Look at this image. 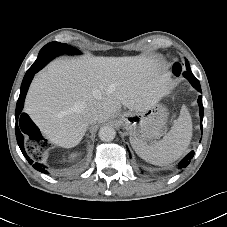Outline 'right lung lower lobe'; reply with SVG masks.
Wrapping results in <instances>:
<instances>
[{
  "label": "right lung lower lobe",
  "mask_w": 227,
  "mask_h": 227,
  "mask_svg": "<svg viewBox=\"0 0 227 227\" xmlns=\"http://www.w3.org/2000/svg\"><path fill=\"white\" fill-rule=\"evenodd\" d=\"M55 56H56V54L51 51H46L38 56L37 60L28 69V71L26 72V74L23 78L19 99H18L17 105H16V112H15L16 139H17L21 152L23 153V155L25 156V158L28 160V162L30 164H33V161L27 156V154L24 150V146H23L24 134L33 135L34 132H38V133H40V132H39V129L35 126V124L30 120L28 115L25 113H22V108H23L26 93H27L29 85L34 77V74L37 73L40 69H42ZM33 167L42 173H47V171L45 170L46 167L40 163H34Z\"/></svg>",
  "instance_id": "98d812e1"
}]
</instances>
